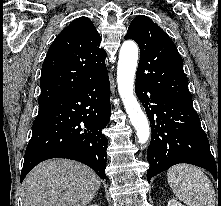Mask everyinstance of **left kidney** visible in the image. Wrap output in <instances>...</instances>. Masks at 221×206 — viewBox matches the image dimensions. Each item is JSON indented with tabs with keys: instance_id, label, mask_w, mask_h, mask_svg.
Instances as JSON below:
<instances>
[{
	"instance_id": "left-kidney-1",
	"label": "left kidney",
	"mask_w": 221,
	"mask_h": 206,
	"mask_svg": "<svg viewBox=\"0 0 221 206\" xmlns=\"http://www.w3.org/2000/svg\"><path fill=\"white\" fill-rule=\"evenodd\" d=\"M167 206H184V205H182V203H180L179 201H177L175 199H170L168 201V205Z\"/></svg>"
}]
</instances>
